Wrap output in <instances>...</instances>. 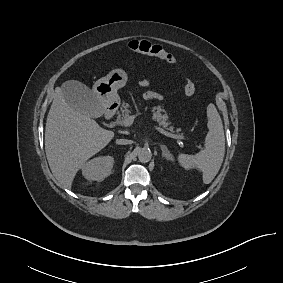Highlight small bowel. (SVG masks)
Returning <instances> with one entry per match:
<instances>
[{"instance_id": "obj_1", "label": "small bowel", "mask_w": 283, "mask_h": 283, "mask_svg": "<svg viewBox=\"0 0 283 283\" xmlns=\"http://www.w3.org/2000/svg\"><path fill=\"white\" fill-rule=\"evenodd\" d=\"M140 86L142 87H148L150 85V80L147 78H143L139 82ZM145 99L147 100H159L162 98V96L154 91H147L144 95Z\"/></svg>"}]
</instances>
